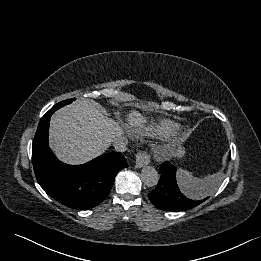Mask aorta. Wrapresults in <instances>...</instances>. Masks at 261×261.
<instances>
[{
  "label": "aorta",
  "mask_w": 261,
  "mask_h": 261,
  "mask_svg": "<svg viewBox=\"0 0 261 261\" xmlns=\"http://www.w3.org/2000/svg\"><path fill=\"white\" fill-rule=\"evenodd\" d=\"M142 182L148 187H154L159 182V174L152 166H146L141 171Z\"/></svg>",
  "instance_id": "762f6f07"
}]
</instances>
